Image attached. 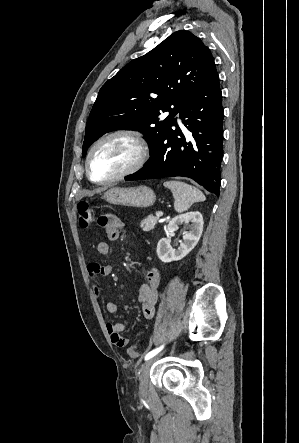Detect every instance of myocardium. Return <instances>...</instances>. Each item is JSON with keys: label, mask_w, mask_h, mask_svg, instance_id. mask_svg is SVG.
Returning <instances> with one entry per match:
<instances>
[{"label": "myocardium", "mask_w": 299, "mask_h": 443, "mask_svg": "<svg viewBox=\"0 0 299 443\" xmlns=\"http://www.w3.org/2000/svg\"><path fill=\"white\" fill-rule=\"evenodd\" d=\"M114 137H123V138H126V139L132 141L136 147L137 156H136L135 160L127 168H125L124 170H122L118 174L111 176L109 178H106V179H102V180L94 179L91 174V160H92L93 154L99 145H101L106 140L114 138ZM148 152H149L148 144H147L144 136L139 131H136L133 129H119V130L112 131V132L100 137L89 149V152H88V155L86 158V175L89 178V180L95 184L105 185V184H110V183L116 182V181L123 179V178L137 172L138 170H140L144 166V164L147 160Z\"/></svg>", "instance_id": "obj_1"}]
</instances>
